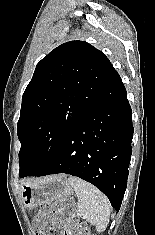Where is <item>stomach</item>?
Instances as JSON below:
<instances>
[{"mask_svg": "<svg viewBox=\"0 0 155 235\" xmlns=\"http://www.w3.org/2000/svg\"><path fill=\"white\" fill-rule=\"evenodd\" d=\"M72 192L73 189L64 175L25 182L21 186L22 202L28 209H33L37 205L68 197Z\"/></svg>", "mask_w": 155, "mask_h": 235, "instance_id": "stomach-1", "label": "stomach"}]
</instances>
